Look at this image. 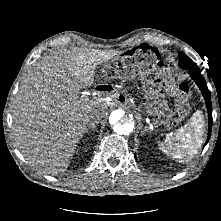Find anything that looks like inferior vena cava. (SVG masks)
I'll use <instances>...</instances> for the list:
<instances>
[{
    "instance_id": "obj_1",
    "label": "inferior vena cava",
    "mask_w": 221,
    "mask_h": 221,
    "mask_svg": "<svg viewBox=\"0 0 221 221\" xmlns=\"http://www.w3.org/2000/svg\"><path fill=\"white\" fill-rule=\"evenodd\" d=\"M102 118H103V116L100 115V114H95V115H93V116H92L91 126L98 124Z\"/></svg>"
}]
</instances>
